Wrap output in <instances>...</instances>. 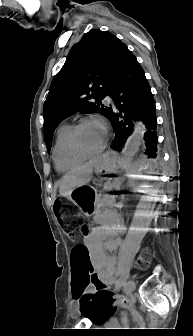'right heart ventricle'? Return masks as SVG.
Masks as SVG:
<instances>
[{"label": "right heart ventricle", "instance_id": "e07e8e85", "mask_svg": "<svg viewBox=\"0 0 193 336\" xmlns=\"http://www.w3.org/2000/svg\"><path fill=\"white\" fill-rule=\"evenodd\" d=\"M71 128V125L63 124L56 132L52 156L59 172L73 171L85 160L84 157L73 153L69 147L68 136Z\"/></svg>", "mask_w": 193, "mask_h": 336}]
</instances>
